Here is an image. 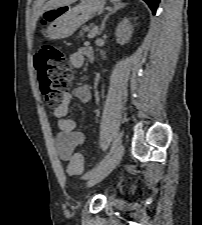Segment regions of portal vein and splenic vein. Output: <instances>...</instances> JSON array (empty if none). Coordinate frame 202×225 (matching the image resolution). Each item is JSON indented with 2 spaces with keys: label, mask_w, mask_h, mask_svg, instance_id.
I'll return each mask as SVG.
<instances>
[{
  "label": "portal vein and splenic vein",
  "mask_w": 202,
  "mask_h": 225,
  "mask_svg": "<svg viewBox=\"0 0 202 225\" xmlns=\"http://www.w3.org/2000/svg\"><path fill=\"white\" fill-rule=\"evenodd\" d=\"M97 33H98V26H94L92 28V30H90V32L88 34V38H90V39L94 38Z\"/></svg>",
  "instance_id": "18ae733b"
}]
</instances>
